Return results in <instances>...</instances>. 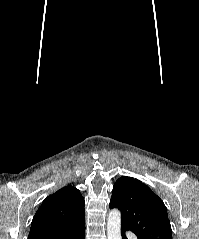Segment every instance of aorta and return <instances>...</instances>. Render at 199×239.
<instances>
[{
	"mask_svg": "<svg viewBox=\"0 0 199 239\" xmlns=\"http://www.w3.org/2000/svg\"><path fill=\"white\" fill-rule=\"evenodd\" d=\"M121 213L118 209L109 212L107 219V236L108 239H121Z\"/></svg>",
	"mask_w": 199,
	"mask_h": 239,
	"instance_id": "1",
	"label": "aorta"
}]
</instances>
